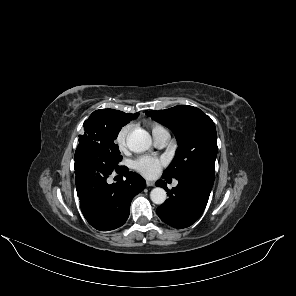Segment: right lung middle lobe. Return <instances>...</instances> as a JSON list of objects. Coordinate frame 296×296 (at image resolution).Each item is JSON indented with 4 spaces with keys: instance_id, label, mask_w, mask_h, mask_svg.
<instances>
[{
    "instance_id": "dd1d6c3e",
    "label": "right lung middle lobe",
    "mask_w": 296,
    "mask_h": 296,
    "mask_svg": "<svg viewBox=\"0 0 296 296\" xmlns=\"http://www.w3.org/2000/svg\"><path fill=\"white\" fill-rule=\"evenodd\" d=\"M139 114L112 110L102 118L84 122V134L79 136L81 149L100 157L110 169H118L122 160L119 147L114 143L121 128ZM86 122H89L86 124Z\"/></svg>"
}]
</instances>
